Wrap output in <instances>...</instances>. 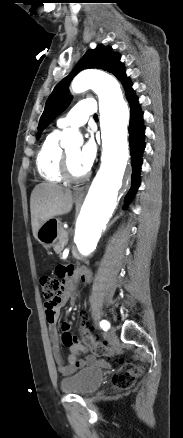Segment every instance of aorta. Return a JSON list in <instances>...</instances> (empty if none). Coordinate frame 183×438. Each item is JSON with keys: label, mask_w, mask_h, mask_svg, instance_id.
<instances>
[{"label": "aorta", "mask_w": 183, "mask_h": 438, "mask_svg": "<svg viewBox=\"0 0 183 438\" xmlns=\"http://www.w3.org/2000/svg\"><path fill=\"white\" fill-rule=\"evenodd\" d=\"M90 88L99 97L103 152L100 169L76 220L74 240L79 254L85 257L96 249L112 216L129 156V109L118 81L107 74L84 71L74 78L71 85L74 93ZM72 139L73 133L67 131L61 142L68 144Z\"/></svg>", "instance_id": "1"}]
</instances>
